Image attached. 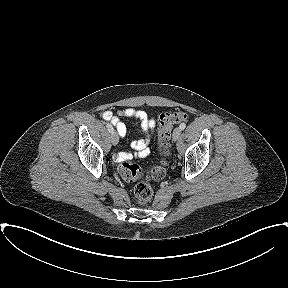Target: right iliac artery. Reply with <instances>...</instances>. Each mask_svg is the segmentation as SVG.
Masks as SVG:
<instances>
[{
  "instance_id": "obj_1",
  "label": "right iliac artery",
  "mask_w": 288,
  "mask_h": 288,
  "mask_svg": "<svg viewBox=\"0 0 288 288\" xmlns=\"http://www.w3.org/2000/svg\"><path fill=\"white\" fill-rule=\"evenodd\" d=\"M107 128L110 133H113L114 129L111 124L107 123Z\"/></svg>"
}]
</instances>
